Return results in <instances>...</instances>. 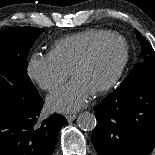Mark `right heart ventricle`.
<instances>
[{
	"label": "right heart ventricle",
	"mask_w": 155,
	"mask_h": 155,
	"mask_svg": "<svg viewBox=\"0 0 155 155\" xmlns=\"http://www.w3.org/2000/svg\"><path fill=\"white\" fill-rule=\"evenodd\" d=\"M112 33L104 29H87L56 40L50 50V55L64 69L71 72L74 65L102 37Z\"/></svg>",
	"instance_id": "e07e8e85"
}]
</instances>
